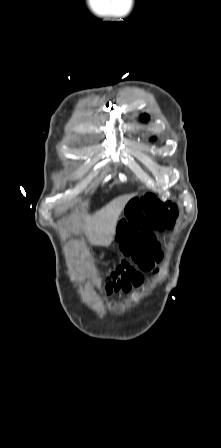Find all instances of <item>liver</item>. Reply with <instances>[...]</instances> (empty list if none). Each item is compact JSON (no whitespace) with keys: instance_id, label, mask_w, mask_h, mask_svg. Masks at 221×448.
Here are the masks:
<instances>
[{"instance_id":"obj_1","label":"liver","mask_w":221,"mask_h":448,"mask_svg":"<svg viewBox=\"0 0 221 448\" xmlns=\"http://www.w3.org/2000/svg\"><path fill=\"white\" fill-rule=\"evenodd\" d=\"M134 195H125L110 202L93 216L85 218V234L96 246H108L114 240L119 215Z\"/></svg>"}]
</instances>
